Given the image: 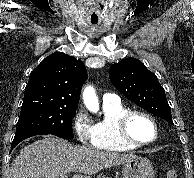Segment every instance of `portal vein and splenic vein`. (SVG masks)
<instances>
[{
    "label": "portal vein and splenic vein",
    "mask_w": 194,
    "mask_h": 178,
    "mask_svg": "<svg viewBox=\"0 0 194 178\" xmlns=\"http://www.w3.org/2000/svg\"><path fill=\"white\" fill-rule=\"evenodd\" d=\"M60 178H68L67 175H62Z\"/></svg>",
    "instance_id": "portal-vein-and-splenic-vein-1"
}]
</instances>
